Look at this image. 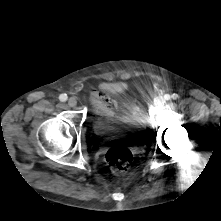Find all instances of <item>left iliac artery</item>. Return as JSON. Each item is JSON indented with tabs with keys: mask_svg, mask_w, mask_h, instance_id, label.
<instances>
[{
	"mask_svg": "<svg viewBox=\"0 0 221 221\" xmlns=\"http://www.w3.org/2000/svg\"><path fill=\"white\" fill-rule=\"evenodd\" d=\"M164 98H165V100H170L171 98H173V99H177L178 98V95L177 94H172V96H170L169 94H166L165 96H164Z\"/></svg>",
	"mask_w": 221,
	"mask_h": 221,
	"instance_id": "44dca946",
	"label": "left iliac artery"
}]
</instances>
